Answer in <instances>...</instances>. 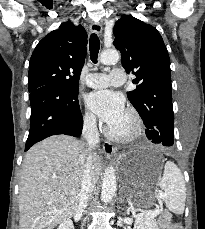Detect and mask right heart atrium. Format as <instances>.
<instances>
[{
  "instance_id": "d8ad5b80",
  "label": "right heart atrium",
  "mask_w": 205,
  "mask_h": 229,
  "mask_svg": "<svg viewBox=\"0 0 205 229\" xmlns=\"http://www.w3.org/2000/svg\"><path fill=\"white\" fill-rule=\"evenodd\" d=\"M83 123L88 127H94L96 124V119L92 113L85 112L83 115Z\"/></svg>"
}]
</instances>
